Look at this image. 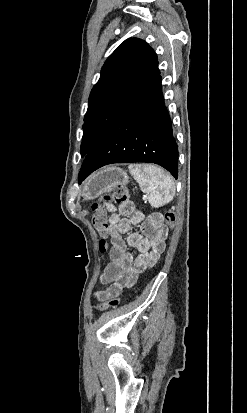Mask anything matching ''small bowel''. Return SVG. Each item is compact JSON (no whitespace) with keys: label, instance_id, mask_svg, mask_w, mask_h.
I'll return each instance as SVG.
<instances>
[{"label":"small bowel","instance_id":"1","mask_svg":"<svg viewBox=\"0 0 247 413\" xmlns=\"http://www.w3.org/2000/svg\"><path fill=\"white\" fill-rule=\"evenodd\" d=\"M104 208L109 212V233L112 246L111 262L101 276L102 283L109 285L105 290L93 293L94 298L99 301H104L107 297L120 299L125 286H133L140 274L152 269L166 248L167 235L163 221L154 222L151 218L146 220L132 202L119 204L117 207L111 203H105ZM150 223L153 225L152 233L148 232ZM133 226L139 227L140 232H130ZM124 233H127L126 241L122 238ZM128 246L135 248L138 254L136 256L130 254L127 251Z\"/></svg>","mask_w":247,"mask_h":413}]
</instances>
